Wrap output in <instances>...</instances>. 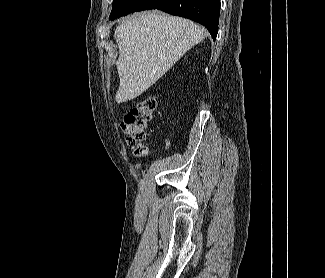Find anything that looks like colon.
Listing matches in <instances>:
<instances>
[{
  "mask_svg": "<svg viewBox=\"0 0 325 278\" xmlns=\"http://www.w3.org/2000/svg\"><path fill=\"white\" fill-rule=\"evenodd\" d=\"M157 102L154 98H142L129 108L121 121V129L127 136V142L137 157H143L147 148L143 145L146 131L153 121Z\"/></svg>",
  "mask_w": 325,
  "mask_h": 278,
  "instance_id": "5ec220e1",
  "label": "colon"
}]
</instances>
